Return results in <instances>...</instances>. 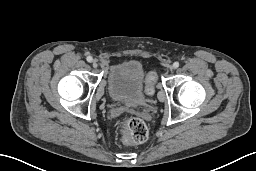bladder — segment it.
Masks as SVG:
<instances>
[{"instance_id":"31cf9c89","label":"bladder","mask_w":256,"mask_h":171,"mask_svg":"<svg viewBox=\"0 0 256 171\" xmlns=\"http://www.w3.org/2000/svg\"><path fill=\"white\" fill-rule=\"evenodd\" d=\"M111 97L128 107L147 104L144 93V71L140 62L125 61L111 67L107 79Z\"/></svg>"}]
</instances>
